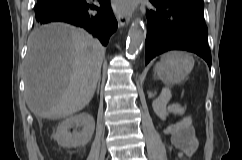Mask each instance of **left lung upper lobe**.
I'll return each instance as SVG.
<instances>
[{"label":"left lung upper lobe","instance_id":"left-lung-upper-lobe-1","mask_svg":"<svg viewBox=\"0 0 242 160\" xmlns=\"http://www.w3.org/2000/svg\"><path fill=\"white\" fill-rule=\"evenodd\" d=\"M179 1H183V2H186V3H190L192 5H195L197 7L204 8L203 0H179Z\"/></svg>","mask_w":242,"mask_h":160}]
</instances>
